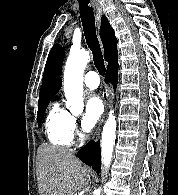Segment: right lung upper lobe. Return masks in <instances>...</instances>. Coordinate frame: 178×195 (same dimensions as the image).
Listing matches in <instances>:
<instances>
[{
  "instance_id": "right-lung-upper-lobe-1",
  "label": "right lung upper lobe",
  "mask_w": 178,
  "mask_h": 195,
  "mask_svg": "<svg viewBox=\"0 0 178 195\" xmlns=\"http://www.w3.org/2000/svg\"><path fill=\"white\" fill-rule=\"evenodd\" d=\"M100 36L104 45L105 60L108 66L118 63L117 38L107 18L102 16ZM64 60V50L60 45H54L50 50L44 69L42 86L38 105L50 102L62 86L61 73Z\"/></svg>"
}]
</instances>
